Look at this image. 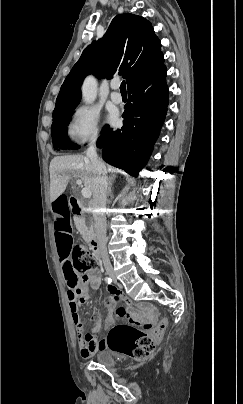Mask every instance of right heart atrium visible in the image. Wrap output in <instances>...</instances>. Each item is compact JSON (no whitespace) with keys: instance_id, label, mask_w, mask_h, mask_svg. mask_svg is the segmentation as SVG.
Instances as JSON below:
<instances>
[{"instance_id":"obj_1","label":"right heart atrium","mask_w":243,"mask_h":404,"mask_svg":"<svg viewBox=\"0 0 243 404\" xmlns=\"http://www.w3.org/2000/svg\"><path fill=\"white\" fill-rule=\"evenodd\" d=\"M69 143L80 148L100 139V113L92 105L81 104L70 113L65 128Z\"/></svg>"}]
</instances>
